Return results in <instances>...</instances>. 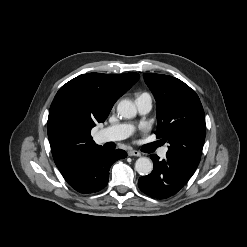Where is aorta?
<instances>
[{"instance_id": "762f6f07", "label": "aorta", "mask_w": 247, "mask_h": 247, "mask_svg": "<svg viewBox=\"0 0 247 247\" xmlns=\"http://www.w3.org/2000/svg\"><path fill=\"white\" fill-rule=\"evenodd\" d=\"M117 113L125 119H131L136 116L137 109L130 100H121L117 105ZM135 170L140 175H148L153 170V163L147 157H140L135 162Z\"/></svg>"}]
</instances>
